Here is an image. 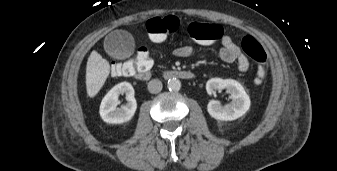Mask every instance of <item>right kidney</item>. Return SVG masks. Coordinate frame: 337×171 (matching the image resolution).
Wrapping results in <instances>:
<instances>
[{"label":"right kidney","mask_w":337,"mask_h":171,"mask_svg":"<svg viewBox=\"0 0 337 171\" xmlns=\"http://www.w3.org/2000/svg\"><path fill=\"white\" fill-rule=\"evenodd\" d=\"M126 94L127 103L121 108H117L118 97ZM137 109L134 97V89L128 82H121L115 85L102 99L100 105V116L103 121L112 124H120L131 120Z\"/></svg>","instance_id":"obj_1"}]
</instances>
